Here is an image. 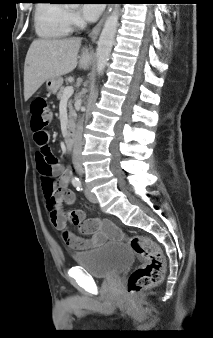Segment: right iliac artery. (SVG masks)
Here are the masks:
<instances>
[{"mask_svg":"<svg viewBox=\"0 0 213 338\" xmlns=\"http://www.w3.org/2000/svg\"><path fill=\"white\" fill-rule=\"evenodd\" d=\"M73 186H74L78 191L82 190V184H81V182H80L79 180L73 182Z\"/></svg>","mask_w":213,"mask_h":338,"instance_id":"obj_1","label":"right iliac artery"}]
</instances>
